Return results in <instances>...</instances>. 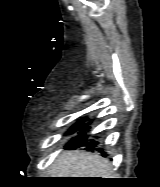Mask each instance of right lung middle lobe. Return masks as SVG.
Masks as SVG:
<instances>
[{
    "label": "right lung middle lobe",
    "mask_w": 160,
    "mask_h": 187,
    "mask_svg": "<svg viewBox=\"0 0 160 187\" xmlns=\"http://www.w3.org/2000/svg\"><path fill=\"white\" fill-rule=\"evenodd\" d=\"M85 120H86V119L81 120V121H79L78 123H76L74 126H72L71 129H70V131H69V133H73V132H75L76 130H78V129L84 124V121H85Z\"/></svg>",
    "instance_id": "1"
}]
</instances>
